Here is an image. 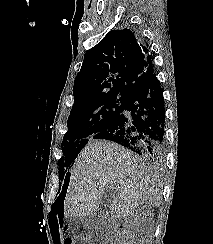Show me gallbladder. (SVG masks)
Returning <instances> with one entry per match:
<instances>
[{
	"instance_id": "1",
	"label": "gallbladder",
	"mask_w": 213,
	"mask_h": 244,
	"mask_svg": "<svg viewBox=\"0 0 213 244\" xmlns=\"http://www.w3.org/2000/svg\"><path fill=\"white\" fill-rule=\"evenodd\" d=\"M112 218L104 206L87 217L80 219L83 227L91 231H102L105 228H108L112 223Z\"/></svg>"
}]
</instances>
